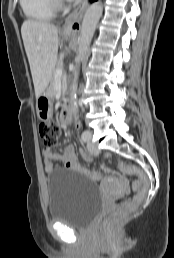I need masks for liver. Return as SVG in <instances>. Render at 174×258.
<instances>
[{
    "mask_svg": "<svg viewBox=\"0 0 174 258\" xmlns=\"http://www.w3.org/2000/svg\"><path fill=\"white\" fill-rule=\"evenodd\" d=\"M22 39L38 98L48 88L58 55V28L46 22L26 20Z\"/></svg>",
    "mask_w": 174,
    "mask_h": 258,
    "instance_id": "1",
    "label": "liver"
}]
</instances>
